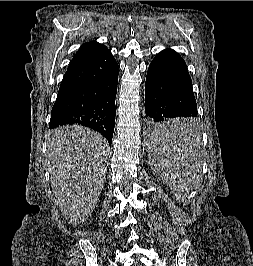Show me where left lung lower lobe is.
<instances>
[{
	"label": "left lung lower lobe",
	"instance_id": "1",
	"mask_svg": "<svg viewBox=\"0 0 253 266\" xmlns=\"http://www.w3.org/2000/svg\"><path fill=\"white\" fill-rule=\"evenodd\" d=\"M145 113L150 134L157 137L154 140L184 138L193 131L188 118L198 112L192 81L185 61L172 49L161 51L150 63Z\"/></svg>",
	"mask_w": 253,
	"mask_h": 266
}]
</instances>
